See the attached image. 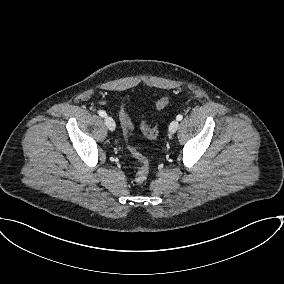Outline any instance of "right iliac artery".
Here are the masks:
<instances>
[{
  "mask_svg": "<svg viewBox=\"0 0 284 284\" xmlns=\"http://www.w3.org/2000/svg\"><path fill=\"white\" fill-rule=\"evenodd\" d=\"M98 114H99L101 117H106V116H107L106 112L103 111V110H99V111H98Z\"/></svg>",
  "mask_w": 284,
  "mask_h": 284,
  "instance_id": "right-iliac-artery-1",
  "label": "right iliac artery"
}]
</instances>
